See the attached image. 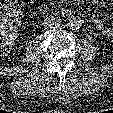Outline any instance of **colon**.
Instances as JSON below:
<instances>
[{
    "mask_svg": "<svg viewBox=\"0 0 113 113\" xmlns=\"http://www.w3.org/2000/svg\"><path fill=\"white\" fill-rule=\"evenodd\" d=\"M29 1L31 0H0V53L6 52L10 46L21 7Z\"/></svg>",
    "mask_w": 113,
    "mask_h": 113,
    "instance_id": "1",
    "label": "colon"
}]
</instances>
